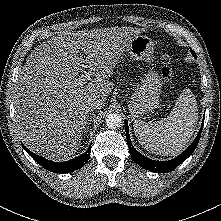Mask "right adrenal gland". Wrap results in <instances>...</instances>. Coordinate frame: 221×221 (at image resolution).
I'll return each mask as SVG.
<instances>
[{"mask_svg": "<svg viewBox=\"0 0 221 221\" xmlns=\"http://www.w3.org/2000/svg\"><path fill=\"white\" fill-rule=\"evenodd\" d=\"M91 120H92V115H91V116H89L88 123H87V126H86V128H85V132H87V131H88L89 126H90V124H91Z\"/></svg>", "mask_w": 221, "mask_h": 221, "instance_id": "obj_1", "label": "right adrenal gland"}]
</instances>
